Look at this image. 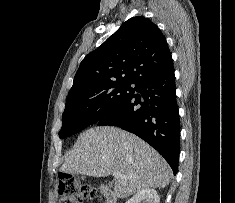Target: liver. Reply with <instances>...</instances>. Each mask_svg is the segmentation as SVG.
Segmentation results:
<instances>
[{
    "instance_id": "6515ba94",
    "label": "liver",
    "mask_w": 235,
    "mask_h": 203,
    "mask_svg": "<svg viewBox=\"0 0 235 203\" xmlns=\"http://www.w3.org/2000/svg\"><path fill=\"white\" fill-rule=\"evenodd\" d=\"M60 171L105 177L120 172L114 192L127 198L145 188H165L172 170L164 158L144 140L116 127H94L78 137L65 155Z\"/></svg>"
}]
</instances>
